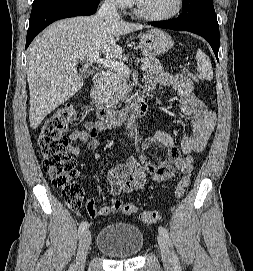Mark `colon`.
<instances>
[{
    "mask_svg": "<svg viewBox=\"0 0 253 271\" xmlns=\"http://www.w3.org/2000/svg\"><path fill=\"white\" fill-rule=\"evenodd\" d=\"M185 74L192 76L188 69ZM75 118V108L67 104L54 112L43 124L37 138L39 152L42 158L43 170L50 176L52 184L62 191V195L68 206L78 209L83 202L84 194L82 188L72 179L76 174V161L68 152V139L66 132ZM190 175H184L176 187L177 197H181L189 186ZM87 209L92 210L93 202L88 201ZM112 212L126 215L138 214L139 219L145 224H155L159 220V214L155 210L139 211L132 203H123L113 200Z\"/></svg>",
    "mask_w": 253,
    "mask_h": 271,
    "instance_id": "colon-1",
    "label": "colon"
}]
</instances>
